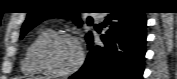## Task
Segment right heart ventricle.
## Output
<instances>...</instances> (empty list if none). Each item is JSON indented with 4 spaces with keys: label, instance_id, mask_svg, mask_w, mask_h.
<instances>
[{
    "label": "right heart ventricle",
    "instance_id": "1",
    "mask_svg": "<svg viewBox=\"0 0 177 79\" xmlns=\"http://www.w3.org/2000/svg\"><path fill=\"white\" fill-rule=\"evenodd\" d=\"M50 34L49 29L40 30L36 36L27 45L24 56L21 61V71L27 75H42L43 73L35 66L33 62V51L36 45Z\"/></svg>",
    "mask_w": 177,
    "mask_h": 79
}]
</instances>
